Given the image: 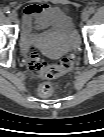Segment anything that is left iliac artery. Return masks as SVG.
<instances>
[{"instance_id":"obj_1","label":"left iliac artery","mask_w":104,"mask_h":137,"mask_svg":"<svg viewBox=\"0 0 104 137\" xmlns=\"http://www.w3.org/2000/svg\"><path fill=\"white\" fill-rule=\"evenodd\" d=\"M88 12L90 14H93L95 12V9L93 7H89Z\"/></svg>"}]
</instances>
